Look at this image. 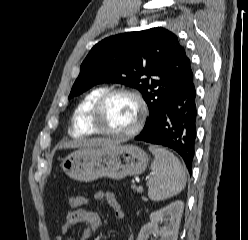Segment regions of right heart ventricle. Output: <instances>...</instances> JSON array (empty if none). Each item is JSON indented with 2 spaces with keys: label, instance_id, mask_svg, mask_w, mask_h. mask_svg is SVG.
Wrapping results in <instances>:
<instances>
[{
  "label": "right heart ventricle",
  "instance_id": "1",
  "mask_svg": "<svg viewBox=\"0 0 248 240\" xmlns=\"http://www.w3.org/2000/svg\"><path fill=\"white\" fill-rule=\"evenodd\" d=\"M107 90V86L101 85L91 89L83 96L72 115L71 135L81 138L95 133L90 123L92 109L98 98Z\"/></svg>",
  "mask_w": 248,
  "mask_h": 240
}]
</instances>
